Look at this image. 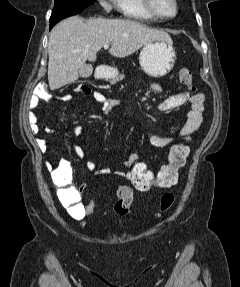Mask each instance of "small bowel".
<instances>
[{"label":"small bowel","instance_id":"obj_1","mask_svg":"<svg viewBox=\"0 0 240 287\" xmlns=\"http://www.w3.org/2000/svg\"><path fill=\"white\" fill-rule=\"evenodd\" d=\"M152 89L155 92H161L162 90L159 84H153ZM77 90L87 96H92L94 100L100 104L101 110L104 114L110 113V111L120 103L118 99L107 98L101 92L92 91L86 85L78 86ZM44 98L47 97L45 96ZM72 98H73L72 95L68 93L62 94L58 97V99L63 102L71 101ZM38 104H39V97L37 95H33L29 102L30 112L28 113V119L31 124V130L34 134H37L40 131V127L37 124L38 117L33 111L38 106ZM186 104H189L190 109L187 113L186 120L179 128V134L182 136H191L199 130L203 122V112L205 110L206 105V98L204 94L198 93L191 95L186 91L173 94L160 103L159 110L163 112H170L182 108ZM41 129L46 134H53L55 132V130L48 125H42ZM72 131L77 136H81L84 134L82 128L77 124H74L72 126ZM148 135L151 144L158 148H163L167 146L168 144L171 143L173 139L172 136L159 135L154 132H149ZM38 145L43 152L46 150L47 144L44 139H39ZM71 149L74 152V154L80 159L86 158L85 151L78 144H72ZM139 159H141V156L139 154L135 152H128L126 158L123 161V166L126 168L124 170L113 171L111 168L98 169L97 164L90 159L86 161V166L90 171H94L95 174L99 176L114 173L118 177L127 179L128 169L134 162H136ZM81 187L83 189L84 185H82ZM60 199L63 206L67 209L68 213L74 219L82 220L85 217L86 215L85 207L84 204L81 202V195L77 189L67 190L65 192L60 191Z\"/></svg>","mask_w":240,"mask_h":287}]
</instances>
